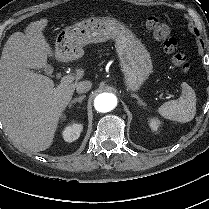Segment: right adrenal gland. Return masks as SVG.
Wrapping results in <instances>:
<instances>
[{
	"instance_id": "obj_1",
	"label": "right adrenal gland",
	"mask_w": 209,
	"mask_h": 209,
	"mask_svg": "<svg viewBox=\"0 0 209 209\" xmlns=\"http://www.w3.org/2000/svg\"><path fill=\"white\" fill-rule=\"evenodd\" d=\"M84 98H85V95H82V96H80V97L74 98V99L69 103V108H71V106H72L73 104H75L76 102L81 103L82 100H83Z\"/></svg>"
}]
</instances>
